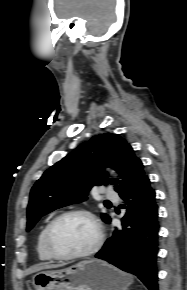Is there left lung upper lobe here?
<instances>
[{
  "instance_id": "left-lung-upper-lobe-1",
  "label": "left lung upper lobe",
  "mask_w": 187,
  "mask_h": 290,
  "mask_svg": "<svg viewBox=\"0 0 187 290\" xmlns=\"http://www.w3.org/2000/svg\"><path fill=\"white\" fill-rule=\"evenodd\" d=\"M103 166H110L121 174L120 186L115 190L122 194L144 175L143 164L132 147L119 135L105 133L84 142L72 153L54 164L35 183L27 208V231L45 214L87 199L94 185H106L108 179ZM102 219L110 223L107 214Z\"/></svg>"
}]
</instances>
